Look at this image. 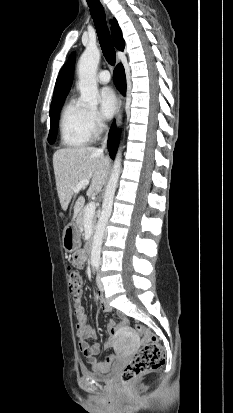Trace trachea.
<instances>
[{
    "instance_id": "trachea-1",
    "label": "trachea",
    "mask_w": 233,
    "mask_h": 413,
    "mask_svg": "<svg viewBox=\"0 0 233 413\" xmlns=\"http://www.w3.org/2000/svg\"><path fill=\"white\" fill-rule=\"evenodd\" d=\"M99 37L101 49L108 64L114 65L116 52L106 23L104 8L99 0H86Z\"/></svg>"
}]
</instances>
